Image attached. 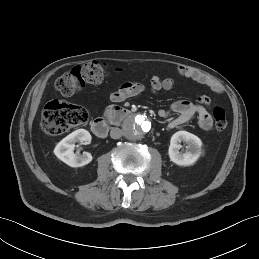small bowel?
<instances>
[{
  "label": "small bowel",
  "mask_w": 259,
  "mask_h": 259,
  "mask_svg": "<svg viewBox=\"0 0 259 259\" xmlns=\"http://www.w3.org/2000/svg\"><path fill=\"white\" fill-rule=\"evenodd\" d=\"M177 72L179 76L203 84L216 93H221L223 91V87L219 81L201 71L186 66H180L177 68ZM174 85L175 81L173 78L162 79L157 75H154L150 81V87L153 93L171 90ZM143 90V84L134 81H126L122 83L117 90L109 94V99L112 102L119 103L129 97L140 94ZM209 106L210 99L207 96H200L197 103L188 100H177L173 102L170 110L177 116L169 122L168 128L172 129L178 127L197 116L199 126L205 131L211 130L213 121L206 109V107ZM169 114L170 112L165 109H160L158 111V115L162 118L168 117Z\"/></svg>",
  "instance_id": "c3829d8e"
}]
</instances>
